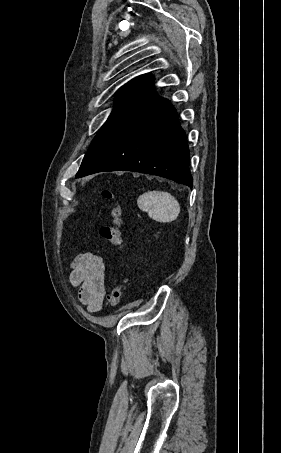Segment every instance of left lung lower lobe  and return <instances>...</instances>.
Listing matches in <instances>:
<instances>
[{
	"label": "left lung lower lobe",
	"instance_id": "left-lung-lower-lobe-1",
	"mask_svg": "<svg viewBox=\"0 0 281 453\" xmlns=\"http://www.w3.org/2000/svg\"><path fill=\"white\" fill-rule=\"evenodd\" d=\"M189 149L171 103L151 86L144 98L76 178L127 170L158 175L192 187Z\"/></svg>",
	"mask_w": 281,
	"mask_h": 453
}]
</instances>
